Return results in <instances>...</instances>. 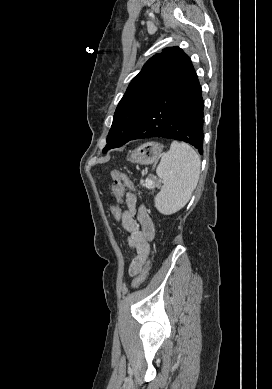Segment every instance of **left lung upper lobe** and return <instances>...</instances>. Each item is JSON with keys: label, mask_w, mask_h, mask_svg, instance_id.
I'll return each mask as SVG.
<instances>
[{"label": "left lung upper lobe", "mask_w": 272, "mask_h": 389, "mask_svg": "<svg viewBox=\"0 0 272 389\" xmlns=\"http://www.w3.org/2000/svg\"><path fill=\"white\" fill-rule=\"evenodd\" d=\"M190 63L191 59L179 47L165 48L145 63L116 108L103 153L126 143L154 97Z\"/></svg>", "instance_id": "5c2ea615"}]
</instances>
